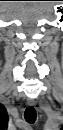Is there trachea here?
<instances>
[{"mask_svg": "<svg viewBox=\"0 0 63 130\" xmlns=\"http://www.w3.org/2000/svg\"><path fill=\"white\" fill-rule=\"evenodd\" d=\"M36 116V111L33 106H29L26 108L24 113L26 122H28L29 124H33L36 121Z\"/></svg>", "mask_w": 63, "mask_h": 130, "instance_id": "obj_1", "label": "trachea"}]
</instances>
